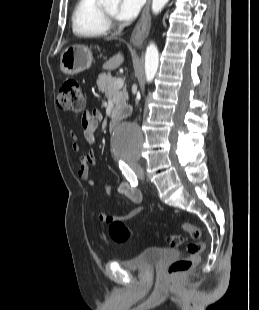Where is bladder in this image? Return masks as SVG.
<instances>
[{"label": "bladder", "mask_w": 259, "mask_h": 310, "mask_svg": "<svg viewBox=\"0 0 259 310\" xmlns=\"http://www.w3.org/2000/svg\"><path fill=\"white\" fill-rule=\"evenodd\" d=\"M178 253L172 249L147 248L129 260L119 261L125 269H149L159 263L177 258Z\"/></svg>", "instance_id": "31cf9c89"}]
</instances>
